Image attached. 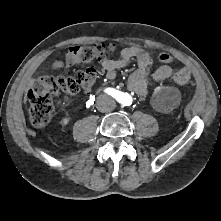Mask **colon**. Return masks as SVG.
<instances>
[{
	"instance_id": "colon-1",
	"label": "colon",
	"mask_w": 221,
	"mask_h": 221,
	"mask_svg": "<svg viewBox=\"0 0 221 221\" xmlns=\"http://www.w3.org/2000/svg\"><path fill=\"white\" fill-rule=\"evenodd\" d=\"M116 53V46L111 43H100L92 46L75 45L65 53L69 65L87 63L92 60H104ZM173 81L178 85H189L192 82L191 73L182 68L174 73ZM96 80L92 69L76 70L71 76H42L36 79L29 92V117L34 127L47 125L53 114V98L63 95H74L79 91H89Z\"/></svg>"
}]
</instances>
